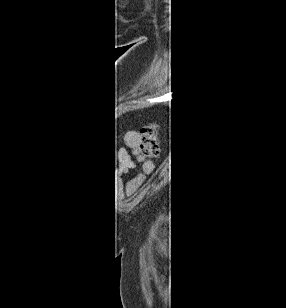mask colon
Instances as JSON below:
<instances>
[{"mask_svg": "<svg viewBox=\"0 0 286 308\" xmlns=\"http://www.w3.org/2000/svg\"><path fill=\"white\" fill-rule=\"evenodd\" d=\"M157 126L151 124L141 131L140 148L145 154H152L157 146Z\"/></svg>", "mask_w": 286, "mask_h": 308, "instance_id": "obj_1", "label": "colon"}]
</instances>
